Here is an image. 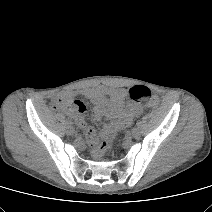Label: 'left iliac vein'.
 I'll return each instance as SVG.
<instances>
[{"label":"left iliac vein","instance_id":"left-iliac-vein-1","mask_svg":"<svg viewBox=\"0 0 212 212\" xmlns=\"http://www.w3.org/2000/svg\"><path fill=\"white\" fill-rule=\"evenodd\" d=\"M131 135L133 138H138L140 136V129L138 127H134L131 130Z\"/></svg>","mask_w":212,"mask_h":212}]
</instances>
